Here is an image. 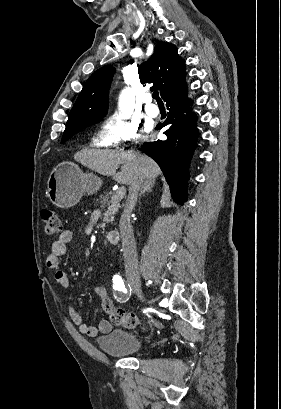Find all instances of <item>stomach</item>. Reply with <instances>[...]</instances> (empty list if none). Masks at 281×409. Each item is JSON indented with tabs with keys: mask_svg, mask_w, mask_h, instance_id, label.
Here are the masks:
<instances>
[{
	"mask_svg": "<svg viewBox=\"0 0 281 409\" xmlns=\"http://www.w3.org/2000/svg\"><path fill=\"white\" fill-rule=\"evenodd\" d=\"M101 178L92 172H83L75 162H59L47 180V194L53 205L59 209L74 207L83 194L97 192Z\"/></svg>",
	"mask_w": 281,
	"mask_h": 409,
	"instance_id": "obj_1",
	"label": "stomach"
}]
</instances>
